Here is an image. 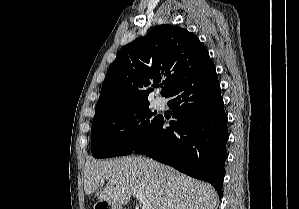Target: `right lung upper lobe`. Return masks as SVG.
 Masks as SVG:
<instances>
[{
    "instance_id": "1",
    "label": "right lung upper lobe",
    "mask_w": 299,
    "mask_h": 209,
    "mask_svg": "<svg viewBox=\"0 0 299 209\" xmlns=\"http://www.w3.org/2000/svg\"><path fill=\"white\" fill-rule=\"evenodd\" d=\"M205 71L216 69L195 35L178 26H156L117 53L102 85L95 115L149 103L151 87L162 80L161 95L167 97L182 80Z\"/></svg>"
}]
</instances>
